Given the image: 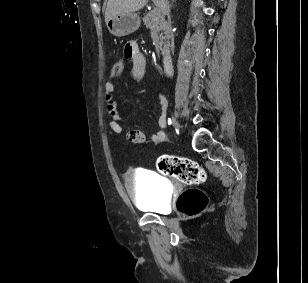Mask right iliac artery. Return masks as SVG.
I'll return each instance as SVG.
<instances>
[{
    "label": "right iliac artery",
    "instance_id": "right-iliac-artery-1",
    "mask_svg": "<svg viewBox=\"0 0 308 283\" xmlns=\"http://www.w3.org/2000/svg\"><path fill=\"white\" fill-rule=\"evenodd\" d=\"M168 124H169V125H171V124H172V121H171V119H170V118L168 119Z\"/></svg>",
    "mask_w": 308,
    "mask_h": 283
}]
</instances>
